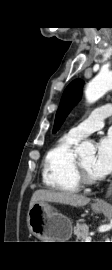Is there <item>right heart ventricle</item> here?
<instances>
[{"instance_id": "e07e8e85", "label": "right heart ventricle", "mask_w": 112, "mask_h": 270, "mask_svg": "<svg viewBox=\"0 0 112 270\" xmlns=\"http://www.w3.org/2000/svg\"><path fill=\"white\" fill-rule=\"evenodd\" d=\"M78 139L64 135L45 155L42 179L46 187L62 193H77L80 190L75 171L74 147Z\"/></svg>"}]
</instances>
